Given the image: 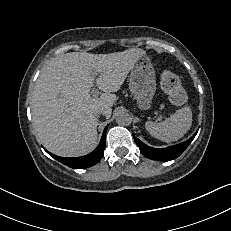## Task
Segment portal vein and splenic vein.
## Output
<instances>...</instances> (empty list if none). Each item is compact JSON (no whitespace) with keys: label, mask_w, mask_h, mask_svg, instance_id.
I'll return each instance as SVG.
<instances>
[{"label":"portal vein and splenic vein","mask_w":231,"mask_h":231,"mask_svg":"<svg viewBox=\"0 0 231 231\" xmlns=\"http://www.w3.org/2000/svg\"><path fill=\"white\" fill-rule=\"evenodd\" d=\"M96 75H97V73H93V76H94V77H95ZM91 95H92L93 97H97V96L99 95L98 89L93 88L92 91H91ZM161 119H162V117H159V118H158V120H161Z\"/></svg>","instance_id":"portal-vein-and-splenic-vein-1"}]
</instances>
